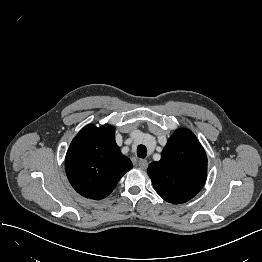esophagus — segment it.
Segmentation results:
<instances>
[{"label": "esophagus", "instance_id": "esophagus-1", "mask_svg": "<svg viewBox=\"0 0 262 262\" xmlns=\"http://www.w3.org/2000/svg\"><path fill=\"white\" fill-rule=\"evenodd\" d=\"M137 165L141 168V169H146L148 167V161L144 160V159H140L137 162Z\"/></svg>", "mask_w": 262, "mask_h": 262}]
</instances>
